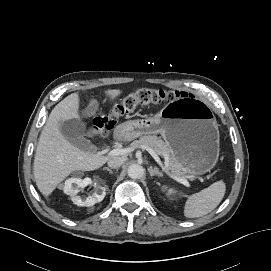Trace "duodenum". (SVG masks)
I'll return each instance as SVG.
<instances>
[{
	"label": "duodenum",
	"instance_id": "duodenum-1",
	"mask_svg": "<svg viewBox=\"0 0 271 271\" xmlns=\"http://www.w3.org/2000/svg\"><path fill=\"white\" fill-rule=\"evenodd\" d=\"M125 135H126L125 132H124L123 130L119 129V130L115 133L114 138H115L116 140H120V139L124 138Z\"/></svg>",
	"mask_w": 271,
	"mask_h": 271
}]
</instances>
